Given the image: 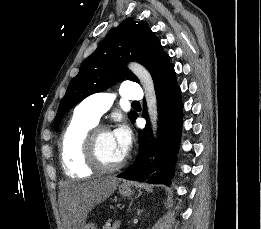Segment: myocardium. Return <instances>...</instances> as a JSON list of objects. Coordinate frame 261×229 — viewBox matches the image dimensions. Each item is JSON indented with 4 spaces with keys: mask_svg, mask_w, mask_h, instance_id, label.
<instances>
[{
    "mask_svg": "<svg viewBox=\"0 0 261 229\" xmlns=\"http://www.w3.org/2000/svg\"><path fill=\"white\" fill-rule=\"evenodd\" d=\"M105 132L110 131L107 128L100 127L91 132L87 142L86 156L88 162L95 170L107 173L116 171L123 167L125 165V159L123 158L121 161L114 164H109L102 159L99 151V140L100 136Z\"/></svg>",
    "mask_w": 261,
    "mask_h": 229,
    "instance_id": "f54148a6",
    "label": "myocardium"
}]
</instances>
